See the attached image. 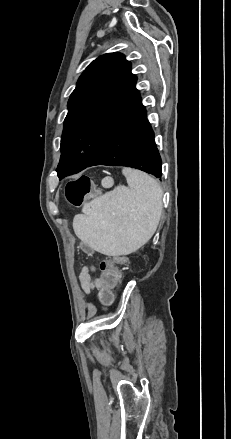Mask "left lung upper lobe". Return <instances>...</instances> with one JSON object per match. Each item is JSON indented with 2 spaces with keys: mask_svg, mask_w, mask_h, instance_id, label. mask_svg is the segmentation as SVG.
<instances>
[{
  "mask_svg": "<svg viewBox=\"0 0 231 439\" xmlns=\"http://www.w3.org/2000/svg\"><path fill=\"white\" fill-rule=\"evenodd\" d=\"M131 63L123 54L94 60L79 77L68 101L61 137L59 179L86 168L100 146L139 98Z\"/></svg>",
  "mask_w": 231,
  "mask_h": 439,
  "instance_id": "5c2ea615",
  "label": "left lung upper lobe"
}]
</instances>
